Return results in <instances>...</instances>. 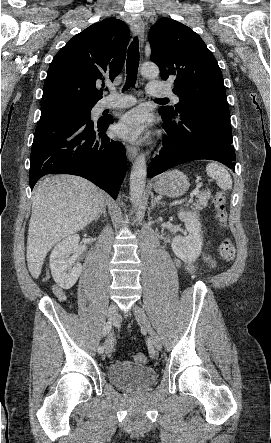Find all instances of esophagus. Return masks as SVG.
<instances>
[{"label": "esophagus", "instance_id": "obj_1", "mask_svg": "<svg viewBox=\"0 0 271 443\" xmlns=\"http://www.w3.org/2000/svg\"><path fill=\"white\" fill-rule=\"evenodd\" d=\"M130 28L132 33L139 38L140 46L142 48L145 41L144 39L145 29L143 21L140 18L133 19L130 23ZM137 151H138L137 148L134 147L133 145H126V154L130 162H132L134 158H136Z\"/></svg>", "mask_w": 271, "mask_h": 443}]
</instances>
